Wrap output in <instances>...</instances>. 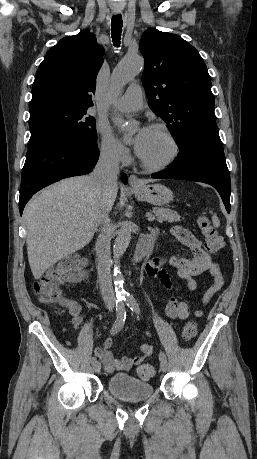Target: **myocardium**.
Returning <instances> with one entry per match:
<instances>
[{
    "mask_svg": "<svg viewBox=\"0 0 257 459\" xmlns=\"http://www.w3.org/2000/svg\"><path fill=\"white\" fill-rule=\"evenodd\" d=\"M150 128L160 131L170 141L172 145V153L164 162L159 163V164H151L145 161L138 153H137V156H138L141 166L145 168L146 170L152 171V172L162 171V170L169 168L178 159L180 155V151H181L180 144L177 138L175 137V135L164 124L154 123L150 126Z\"/></svg>",
    "mask_w": 257,
    "mask_h": 459,
    "instance_id": "myocardium-1",
    "label": "myocardium"
}]
</instances>
